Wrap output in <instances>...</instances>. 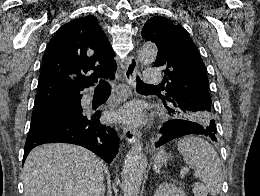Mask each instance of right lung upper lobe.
I'll return each instance as SVG.
<instances>
[{
    "label": "right lung upper lobe",
    "instance_id": "obj_1",
    "mask_svg": "<svg viewBox=\"0 0 260 196\" xmlns=\"http://www.w3.org/2000/svg\"><path fill=\"white\" fill-rule=\"evenodd\" d=\"M114 56L96 17L88 15L63 25L42 58L34 107L79 96L98 78L112 77L116 69Z\"/></svg>",
    "mask_w": 260,
    "mask_h": 196
}]
</instances>
